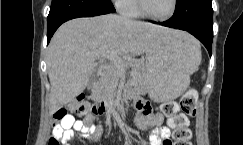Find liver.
<instances>
[{
  "mask_svg": "<svg viewBox=\"0 0 243 145\" xmlns=\"http://www.w3.org/2000/svg\"><path fill=\"white\" fill-rule=\"evenodd\" d=\"M164 34L190 37L181 31L113 14L77 18L61 25L47 50L50 111L56 112L84 91L97 66L98 50L141 55L156 37Z\"/></svg>",
  "mask_w": 243,
  "mask_h": 145,
  "instance_id": "liver-1",
  "label": "liver"
}]
</instances>
